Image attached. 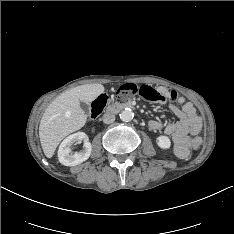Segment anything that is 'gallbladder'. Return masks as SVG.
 <instances>
[{
    "label": "gallbladder",
    "mask_w": 234,
    "mask_h": 234,
    "mask_svg": "<svg viewBox=\"0 0 234 234\" xmlns=\"http://www.w3.org/2000/svg\"><path fill=\"white\" fill-rule=\"evenodd\" d=\"M80 106H81V108L83 109L84 112L89 113L90 107H89V105L87 103L81 102Z\"/></svg>",
    "instance_id": "bac80fb5"
}]
</instances>
